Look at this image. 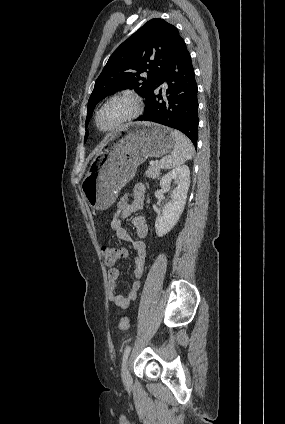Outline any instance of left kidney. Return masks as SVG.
<instances>
[{"mask_svg": "<svg viewBox=\"0 0 285 424\" xmlns=\"http://www.w3.org/2000/svg\"><path fill=\"white\" fill-rule=\"evenodd\" d=\"M173 180L177 186L171 193V200L165 205L162 214L155 220V230L159 237L171 231L184 210L190 185L189 167L182 165L165 174L160 180L161 190L168 191Z\"/></svg>", "mask_w": 285, "mask_h": 424, "instance_id": "1", "label": "left kidney"}]
</instances>
